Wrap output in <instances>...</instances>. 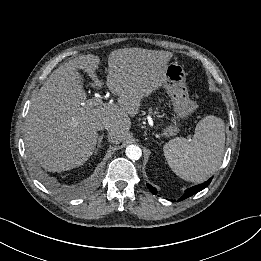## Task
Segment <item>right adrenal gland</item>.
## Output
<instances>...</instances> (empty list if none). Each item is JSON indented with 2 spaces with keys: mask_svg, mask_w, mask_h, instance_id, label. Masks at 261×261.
Masks as SVG:
<instances>
[{
  "mask_svg": "<svg viewBox=\"0 0 261 261\" xmlns=\"http://www.w3.org/2000/svg\"><path fill=\"white\" fill-rule=\"evenodd\" d=\"M102 139H103V134L98 137L97 146L95 147L94 152H93L94 155H96L97 152L99 151V149L101 148Z\"/></svg>",
  "mask_w": 261,
  "mask_h": 261,
  "instance_id": "right-adrenal-gland-1",
  "label": "right adrenal gland"
}]
</instances>
